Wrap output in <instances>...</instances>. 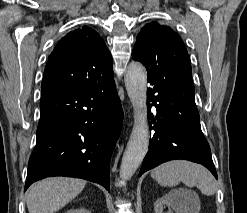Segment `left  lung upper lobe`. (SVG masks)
<instances>
[{
  "mask_svg": "<svg viewBox=\"0 0 247 213\" xmlns=\"http://www.w3.org/2000/svg\"><path fill=\"white\" fill-rule=\"evenodd\" d=\"M132 57L143 63L147 72L181 69L192 76L190 58L181 37L170 27L157 22L146 24L141 29Z\"/></svg>",
  "mask_w": 247,
  "mask_h": 213,
  "instance_id": "1",
  "label": "left lung upper lobe"
}]
</instances>
